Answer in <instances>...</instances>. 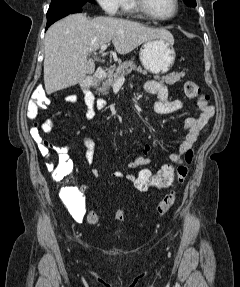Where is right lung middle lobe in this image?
<instances>
[{
    "instance_id": "dd1d6c3e",
    "label": "right lung middle lobe",
    "mask_w": 240,
    "mask_h": 287,
    "mask_svg": "<svg viewBox=\"0 0 240 287\" xmlns=\"http://www.w3.org/2000/svg\"><path fill=\"white\" fill-rule=\"evenodd\" d=\"M95 0H51L47 17L59 11L76 7H83L86 3H93Z\"/></svg>"
}]
</instances>
